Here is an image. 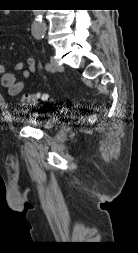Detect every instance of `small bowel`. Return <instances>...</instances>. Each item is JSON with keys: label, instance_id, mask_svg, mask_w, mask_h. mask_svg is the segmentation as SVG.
I'll return each mask as SVG.
<instances>
[{"label": "small bowel", "instance_id": "1", "mask_svg": "<svg viewBox=\"0 0 138 253\" xmlns=\"http://www.w3.org/2000/svg\"><path fill=\"white\" fill-rule=\"evenodd\" d=\"M36 61L33 57H28L26 62H17L13 69L9 71L3 64L0 63V81L3 87L7 89L10 96L19 95L24 88L23 79H27L35 72ZM22 72V78L16 76L17 72Z\"/></svg>", "mask_w": 138, "mask_h": 253}]
</instances>
